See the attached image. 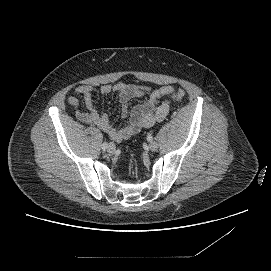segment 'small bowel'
<instances>
[{
	"instance_id": "small-bowel-1",
	"label": "small bowel",
	"mask_w": 271,
	"mask_h": 271,
	"mask_svg": "<svg viewBox=\"0 0 271 271\" xmlns=\"http://www.w3.org/2000/svg\"><path fill=\"white\" fill-rule=\"evenodd\" d=\"M101 94H117L121 105V117L129 118L128 122L120 127H114L106 114H99L93 99V87L81 85L76 93L84 101L86 111L79 109V99L76 96L68 98V104L76 109V117L83 123L95 125L115 141H122L137 134L142 128L151 127L163 121L170 111L171 101L168 96L174 92L171 85L151 88L139 84L117 83L104 85ZM145 101L134 106L129 112L128 104L132 99L143 98ZM164 98L161 102L160 100Z\"/></svg>"
}]
</instances>
